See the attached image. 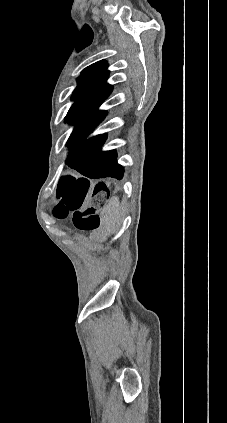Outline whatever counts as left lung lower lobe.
I'll return each instance as SVG.
<instances>
[{
    "label": "left lung lower lobe",
    "mask_w": 227,
    "mask_h": 423,
    "mask_svg": "<svg viewBox=\"0 0 227 423\" xmlns=\"http://www.w3.org/2000/svg\"><path fill=\"white\" fill-rule=\"evenodd\" d=\"M101 121L90 123L71 134L67 142L71 151L66 164L92 179L105 177L121 179L124 170L116 161L117 153L114 150L101 152L106 135H97L85 140Z\"/></svg>",
    "instance_id": "obj_1"
}]
</instances>
